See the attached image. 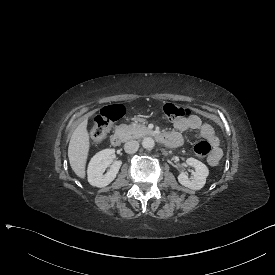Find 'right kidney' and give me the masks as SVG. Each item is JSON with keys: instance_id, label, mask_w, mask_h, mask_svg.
<instances>
[{"instance_id": "obj_1", "label": "right kidney", "mask_w": 275, "mask_h": 275, "mask_svg": "<svg viewBox=\"0 0 275 275\" xmlns=\"http://www.w3.org/2000/svg\"><path fill=\"white\" fill-rule=\"evenodd\" d=\"M113 153V149H105L92 158L88 169V182L91 186L104 188L115 180L122 165L121 160H113L108 173L105 175L102 173L106 169Z\"/></svg>"}]
</instances>
